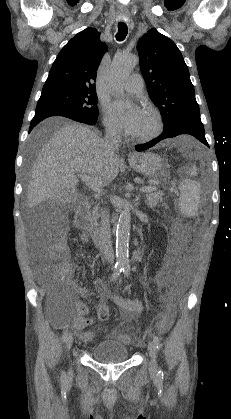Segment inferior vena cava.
Masks as SVG:
<instances>
[{"mask_svg": "<svg viewBox=\"0 0 231 419\" xmlns=\"http://www.w3.org/2000/svg\"><path fill=\"white\" fill-rule=\"evenodd\" d=\"M120 141V132L119 130L108 124L106 126V134L104 137V144L106 150L114 154L118 151ZM98 245L101 250L103 257L109 262L113 263L114 261V252L112 248L111 232H110V220L109 214L107 211L102 213L99 235H98Z\"/></svg>", "mask_w": 231, "mask_h": 419, "instance_id": "1", "label": "inferior vena cava"}]
</instances>
